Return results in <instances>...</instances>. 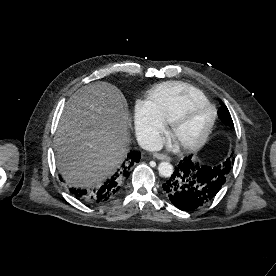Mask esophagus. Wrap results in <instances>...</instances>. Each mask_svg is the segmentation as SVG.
Instances as JSON below:
<instances>
[{
	"label": "esophagus",
	"mask_w": 276,
	"mask_h": 276,
	"mask_svg": "<svg viewBox=\"0 0 276 276\" xmlns=\"http://www.w3.org/2000/svg\"><path fill=\"white\" fill-rule=\"evenodd\" d=\"M154 157L156 159H159V160H166V161H170L171 160V158L168 155H166V154L155 153Z\"/></svg>",
	"instance_id": "obj_1"
}]
</instances>
